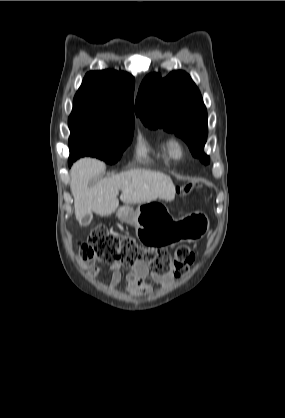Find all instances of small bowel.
Listing matches in <instances>:
<instances>
[{
    "label": "small bowel",
    "instance_id": "c3829d8e",
    "mask_svg": "<svg viewBox=\"0 0 285 418\" xmlns=\"http://www.w3.org/2000/svg\"><path fill=\"white\" fill-rule=\"evenodd\" d=\"M85 268L90 278L97 277L103 271V268L95 261L88 263ZM109 270L111 271L109 284L111 287H116L123 280L121 264L113 263L109 267ZM150 278L156 283H167L171 281L169 279H162L156 275H150L149 268L146 264L137 263L130 267L126 273L125 281L127 290L130 293H146L149 289Z\"/></svg>",
    "mask_w": 285,
    "mask_h": 418
}]
</instances>
